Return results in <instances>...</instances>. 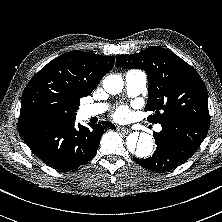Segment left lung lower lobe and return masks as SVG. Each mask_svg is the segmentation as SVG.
<instances>
[{"mask_svg": "<svg viewBox=\"0 0 222 222\" xmlns=\"http://www.w3.org/2000/svg\"><path fill=\"white\" fill-rule=\"evenodd\" d=\"M162 131L154 133L156 151L146 159L133 157L141 166L165 172L188 160L200 147L210 126V120L177 117L162 123Z\"/></svg>", "mask_w": 222, "mask_h": 222, "instance_id": "obj_1", "label": "left lung lower lobe"}]
</instances>
